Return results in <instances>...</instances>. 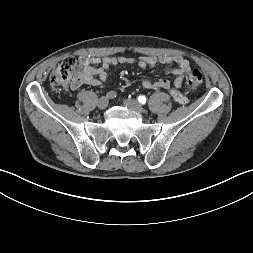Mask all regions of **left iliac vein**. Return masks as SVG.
I'll return each mask as SVG.
<instances>
[{
    "label": "left iliac vein",
    "mask_w": 253,
    "mask_h": 253,
    "mask_svg": "<svg viewBox=\"0 0 253 253\" xmlns=\"http://www.w3.org/2000/svg\"><path fill=\"white\" fill-rule=\"evenodd\" d=\"M123 103L126 107H128L129 109H131L135 112H138V113L145 112V108L134 99H125V100H123Z\"/></svg>",
    "instance_id": "1"
}]
</instances>
